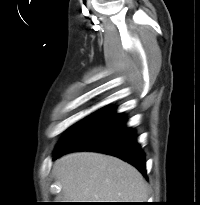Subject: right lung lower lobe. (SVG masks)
Here are the masks:
<instances>
[{
	"label": "right lung lower lobe",
	"instance_id": "1",
	"mask_svg": "<svg viewBox=\"0 0 200 205\" xmlns=\"http://www.w3.org/2000/svg\"><path fill=\"white\" fill-rule=\"evenodd\" d=\"M109 110L66 145L55 150L54 159L72 151H97L119 157L135 166L144 176L145 155L135 139V131L125 126V117Z\"/></svg>",
	"mask_w": 200,
	"mask_h": 205
}]
</instances>
